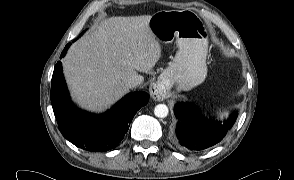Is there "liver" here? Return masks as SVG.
<instances>
[{"instance_id":"obj_1","label":"liver","mask_w":294,"mask_h":180,"mask_svg":"<svg viewBox=\"0 0 294 180\" xmlns=\"http://www.w3.org/2000/svg\"><path fill=\"white\" fill-rule=\"evenodd\" d=\"M151 15L110 17L76 41L62 60L73 99L101 112L128 91V79L150 72L161 46L149 28Z\"/></svg>"}]
</instances>
